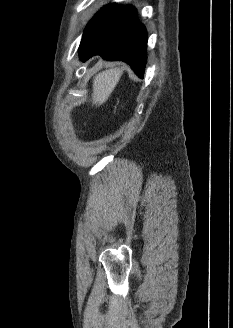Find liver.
I'll use <instances>...</instances> for the list:
<instances>
[{"mask_svg": "<svg viewBox=\"0 0 233 328\" xmlns=\"http://www.w3.org/2000/svg\"><path fill=\"white\" fill-rule=\"evenodd\" d=\"M123 71L119 68L105 70L95 76L93 80L92 103L102 105L109 98Z\"/></svg>", "mask_w": 233, "mask_h": 328, "instance_id": "6515ba94", "label": "liver"}]
</instances>
